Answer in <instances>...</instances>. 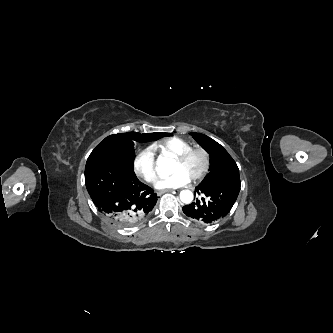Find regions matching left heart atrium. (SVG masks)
Returning a JSON list of instances; mask_svg holds the SVG:
<instances>
[{
  "label": "left heart atrium",
  "instance_id": "obj_1",
  "mask_svg": "<svg viewBox=\"0 0 333 333\" xmlns=\"http://www.w3.org/2000/svg\"><path fill=\"white\" fill-rule=\"evenodd\" d=\"M190 180L183 171H177L170 176L159 179L156 187L158 189H175L187 185Z\"/></svg>",
  "mask_w": 333,
  "mask_h": 333
}]
</instances>
